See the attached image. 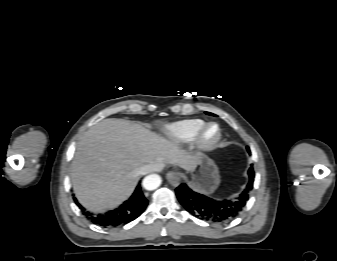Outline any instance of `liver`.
Listing matches in <instances>:
<instances>
[{"label": "liver", "mask_w": 337, "mask_h": 261, "mask_svg": "<svg viewBox=\"0 0 337 261\" xmlns=\"http://www.w3.org/2000/svg\"><path fill=\"white\" fill-rule=\"evenodd\" d=\"M198 155L139 124L104 119L81 137L71 165L73 190L88 210L101 212L126 200L135 189L140 169L148 164H172L187 171Z\"/></svg>", "instance_id": "1"}]
</instances>
